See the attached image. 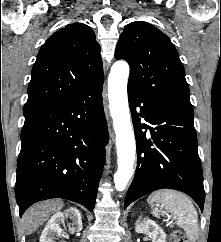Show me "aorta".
<instances>
[{
	"label": "aorta",
	"instance_id": "762f6f07",
	"mask_svg": "<svg viewBox=\"0 0 221 242\" xmlns=\"http://www.w3.org/2000/svg\"><path fill=\"white\" fill-rule=\"evenodd\" d=\"M128 77L127 62L117 61L112 65L108 77V98L116 133L118 169L114 175V183L117 191H123L131 179L136 153L127 97Z\"/></svg>",
	"mask_w": 221,
	"mask_h": 242
}]
</instances>
